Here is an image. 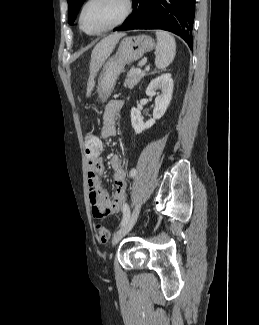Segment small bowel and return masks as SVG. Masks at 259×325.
<instances>
[{
  "mask_svg": "<svg viewBox=\"0 0 259 325\" xmlns=\"http://www.w3.org/2000/svg\"><path fill=\"white\" fill-rule=\"evenodd\" d=\"M122 100H111L107 103L100 129V135L97 138L106 139L116 133V121L122 110ZM104 149L86 152L89 201L91 211L94 217L100 218L105 215L114 214L120 211L123 203L127 199V173L124 168L123 159L115 154L110 159V164L114 173L115 192L112 197L102 188L99 177L104 171V165L101 154Z\"/></svg>",
  "mask_w": 259,
  "mask_h": 325,
  "instance_id": "small-bowel-1",
  "label": "small bowel"
}]
</instances>
